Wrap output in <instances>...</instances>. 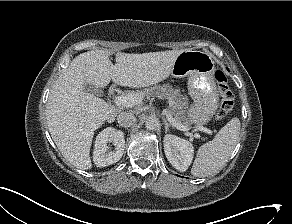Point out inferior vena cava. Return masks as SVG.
I'll use <instances>...</instances> for the list:
<instances>
[{"label":"inferior vena cava","instance_id":"602c4592","mask_svg":"<svg viewBox=\"0 0 292 224\" xmlns=\"http://www.w3.org/2000/svg\"><path fill=\"white\" fill-rule=\"evenodd\" d=\"M117 122L121 127H130L135 124L136 117L131 112H122L117 116Z\"/></svg>","mask_w":292,"mask_h":224}]
</instances>
